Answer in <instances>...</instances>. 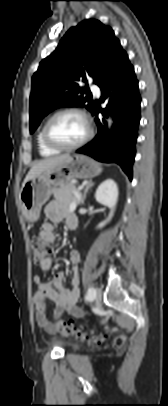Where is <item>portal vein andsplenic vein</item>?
<instances>
[{
    "label": "portal vein and splenic vein",
    "instance_id": "portal-vein-and-splenic-vein-1",
    "mask_svg": "<svg viewBox=\"0 0 168 406\" xmlns=\"http://www.w3.org/2000/svg\"><path fill=\"white\" fill-rule=\"evenodd\" d=\"M76 207H77V203H76V202H73V203L70 205V207H69V211H70V212H73V211L76 209Z\"/></svg>",
    "mask_w": 168,
    "mask_h": 406
}]
</instances>
